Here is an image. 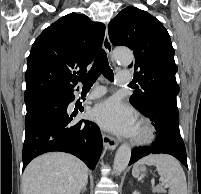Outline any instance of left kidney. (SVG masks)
<instances>
[{"label": "left kidney", "instance_id": "1", "mask_svg": "<svg viewBox=\"0 0 201 194\" xmlns=\"http://www.w3.org/2000/svg\"><path fill=\"white\" fill-rule=\"evenodd\" d=\"M132 194H141V193H139L138 191H134Z\"/></svg>", "mask_w": 201, "mask_h": 194}]
</instances>
